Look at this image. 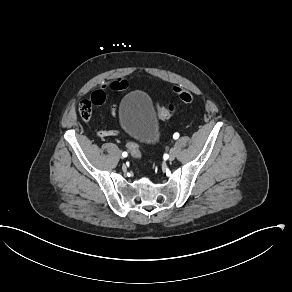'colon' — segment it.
I'll use <instances>...</instances> for the list:
<instances>
[{"label":"colon","mask_w":292,"mask_h":292,"mask_svg":"<svg viewBox=\"0 0 292 292\" xmlns=\"http://www.w3.org/2000/svg\"><path fill=\"white\" fill-rule=\"evenodd\" d=\"M176 94L178 98L183 103H191L193 101L192 96L189 94L188 91L182 88H177ZM106 99V95L103 91H97L94 97L89 99H83L78 105L77 112L79 117L88 122L92 116V111L94 106H100L104 103ZM176 112V104L174 102H168L165 105L159 104L157 105V116L158 119L161 121H165L170 119ZM126 148L130 156L134 159H138L142 155V151L137 142L134 140H128L126 142Z\"/></svg>","instance_id":"1"}]
</instances>
